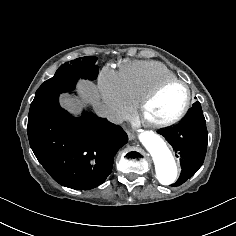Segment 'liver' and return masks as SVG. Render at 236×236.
<instances>
[{"instance_id": "6515ba94", "label": "liver", "mask_w": 236, "mask_h": 236, "mask_svg": "<svg viewBox=\"0 0 236 236\" xmlns=\"http://www.w3.org/2000/svg\"><path fill=\"white\" fill-rule=\"evenodd\" d=\"M78 93L84 102L90 103L92 105L100 104V95L98 89L94 83L88 80H81L77 85ZM60 102L63 107H65L71 113H78L80 103L75 102L74 99L69 97L67 94H62L60 97Z\"/></svg>"}]
</instances>
